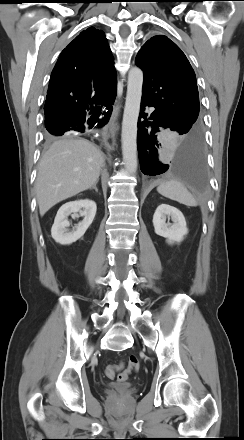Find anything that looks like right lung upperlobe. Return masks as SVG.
Returning a JSON list of instances; mask_svg holds the SVG:
<instances>
[{"label":"right lung upper lobe","instance_id":"1","mask_svg":"<svg viewBox=\"0 0 244 440\" xmlns=\"http://www.w3.org/2000/svg\"><path fill=\"white\" fill-rule=\"evenodd\" d=\"M115 95L116 72L110 47L104 33L90 27L58 58L47 91L45 123L85 115L94 104L105 105Z\"/></svg>","mask_w":244,"mask_h":440}]
</instances>
